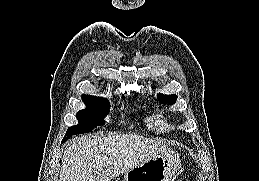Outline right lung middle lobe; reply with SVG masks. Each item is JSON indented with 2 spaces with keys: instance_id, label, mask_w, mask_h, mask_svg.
<instances>
[{
  "instance_id": "1",
  "label": "right lung middle lobe",
  "mask_w": 259,
  "mask_h": 181,
  "mask_svg": "<svg viewBox=\"0 0 259 181\" xmlns=\"http://www.w3.org/2000/svg\"><path fill=\"white\" fill-rule=\"evenodd\" d=\"M82 99L86 108L76 114L79 123L67 129L63 142L72 135L91 132L94 126L105 123L104 116L109 113L110 109L108 100L90 96H82Z\"/></svg>"
}]
</instances>
